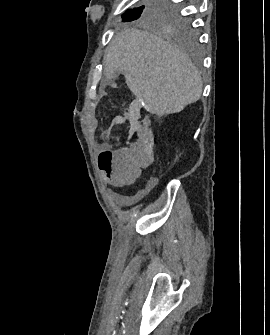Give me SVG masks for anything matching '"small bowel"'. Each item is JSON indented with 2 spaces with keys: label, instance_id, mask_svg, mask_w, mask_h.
<instances>
[{
  "label": "small bowel",
  "instance_id": "obj_1",
  "mask_svg": "<svg viewBox=\"0 0 270 335\" xmlns=\"http://www.w3.org/2000/svg\"><path fill=\"white\" fill-rule=\"evenodd\" d=\"M129 134H138L136 144L121 149H105V154H94V165L103 178H131L132 183L138 178L145 165H149L148 156H157V149L149 145L155 144L152 137L151 123L146 117L140 121H131Z\"/></svg>",
  "mask_w": 270,
  "mask_h": 335
}]
</instances>
